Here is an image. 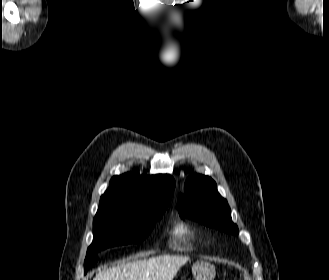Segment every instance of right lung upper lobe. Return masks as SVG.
I'll list each match as a JSON object with an SVG mask.
<instances>
[{
    "label": "right lung upper lobe",
    "instance_id": "1",
    "mask_svg": "<svg viewBox=\"0 0 329 280\" xmlns=\"http://www.w3.org/2000/svg\"><path fill=\"white\" fill-rule=\"evenodd\" d=\"M174 188L175 180L170 175L140 176L129 172L111 179L100 204L120 202L149 208L157 202L170 201Z\"/></svg>",
    "mask_w": 329,
    "mask_h": 280
}]
</instances>
